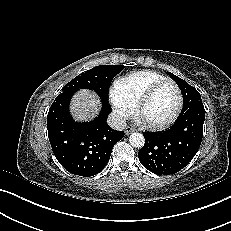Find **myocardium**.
I'll use <instances>...</instances> for the list:
<instances>
[{"mask_svg":"<svg viewBox=\"0 0 231 231\" xmlns=\"http://www.w3.org/2000/svg\"><path fill=\"white\" fill-rule=\"evenodd\" d=\"M165 84H171L176 92V105L175 108L172 112V114L170 115V117L160 123H154V122H149L144 120L141 117V112L145 106V104L147 103V101L150 99V97L153 95V93L162 85ZM182 93L181 90L179 88V86L177 85V83L175 81H173L172 79H163L157 83H155L154 85H152L150 88H148L145 93L140 97V99L137 101L136 106H135V110H134V118L136 119L137 122L143 124L144 126L151 128V129H162L165 128L167 126H169L178 116L181 107H182Z\"/></svg>","mask_w":231,"mask_h":231,"instance_id":"myocardium-1","label":"myocardium"}]
</instances>
